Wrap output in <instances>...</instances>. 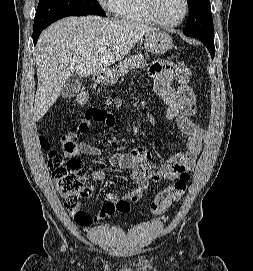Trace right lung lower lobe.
<instances>
[{
  "mask_svg": "<svg viewBox=\"0 0 253 271\" xmlns=\"http://www.w3.org/2000/svg\"><path fill=\"white\" fill-rule=\"evenodd\" d=\"M43 31V29H40L38 31L33 32V42L34 45L36 44L38 37L40 36L41 32Z\"/></svg>",
  "mask_w": 253,
  "mask_h": 271,
  "instance_id": "98d812e1",
  "label": "right lung lower lobe"
}]
</instances>
